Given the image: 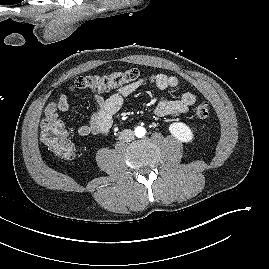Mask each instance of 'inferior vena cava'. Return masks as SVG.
Returning a JSON list of instances; mask_svg holds the SVG:
<instances>
[{
  "label": "inferior vena cava",
  "mask_w": 269,
  "mask_h": 269,
  "mask_svg": "<svg viewBox=\"0 0 269 269\" xmlns=\"http://www.w3.org/2000/svg\"><path fill=\"white\" fill-rule=\"evenodd\" d=\"M119 139L125 142H130L134 139V132L131 129H125L120 133Z\"/></svg>",
  "instance_id": "inferior-vena-cava-1"
}]
</instances>
